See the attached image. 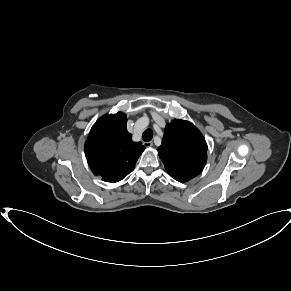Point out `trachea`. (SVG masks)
I'll list each match as a JSON object with an SVG mask.
<instances>
[{
    "instance_id": "1",
    "label": "trachea",
    "mask_w": 291,
    "mask_h": 291,
    "mask_svg": "<svg viewBox=\"0 0 291 291\" xmlns=\"http://www.w3.org/2000/svg\"><path fill=\"white\" fill-rule=\"evenodd\" d=\"M153 138V132L151 129H146L142 134V139L146 142L150 141Z\"/></svg>"
}]
</instances>
